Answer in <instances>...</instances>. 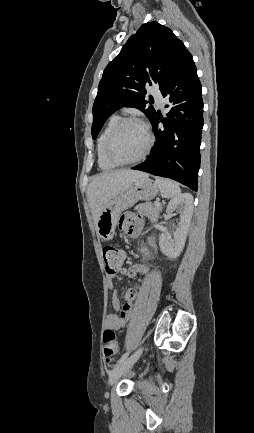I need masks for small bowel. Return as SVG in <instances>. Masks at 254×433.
<instances>
[{
    "mask_svg": "<svg viewBox=\"0 0 254 433\" xmlns=\"http://www.w3.org/2000/svg\"><path fill=\"white\" fill-rule=\"evenodd\" d=\"M142 221L133 217L132 215H125V217L121 218L119 226L131 236H135L140 233L142 229ZM143 254L146 257H149L150 254L146 248L142 249ZM124 256L122 255V261L120 267L123 263ZM119 267V269H120ZM119 271V270H118ZM117 271V272H118ZM116 272V273H117ZM148 272V268L143 264H133L130 266L126 272V276L131 278L136 276L137 274H146ZM115 273H109L110 276H113ZM109 287L113 288L112 280H109ZM137 297V288H131L124 293L125 302L122 304L120 297L114 293L111 298L112 308L117 311L108 313L105 319V325L107 328L112 329H121L124 328L131 317L132 307L134 301Z\"/></svg>",
    "mask_w": 254,
    "mask_h": 433,
    "instance_id": "c3829d8e",
    "label": "small bowel"
}]
</instances>
